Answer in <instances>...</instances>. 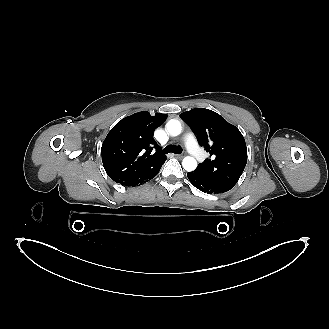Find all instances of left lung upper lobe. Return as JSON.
<instances>
[{"instance_id": "obj_1", "label": "left lung upper lobe", "mask_w": 329, "mask_h": 329, "mask_svg": "<svg viewBox=\"0 0 329 329\" xmlns=\"http://www.w3.org/2000/svg\"><path fill=\"white\" fill-rule=\"evenodd\" d=\"M197 135L198 142L210 153L194 170L205 179L230 190L238 182L247 163L244 137L237 127L205 108L181 114Z\"/></svg>"}]
</instances>
